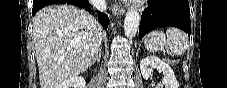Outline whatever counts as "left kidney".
I'll return each instance as SVG.
<instances>
[{
	"label": "left kidney",
	"instance_id": "obj_1",
	"mask_svg": "<svg viewBox=\"0 0 227 88\" xmlns=\"http://www.w3.org/2000/svg\"><path fill=\"white\" fill-rule=\"evenodd\" d=\"M142 76L148 80L153 75V69L161 71L164 75L162 82L158 83L156 88H179L175 74L168 63L160 60L156 56H147L140 62Z\"/></svg>",
	"mask_w": 227,
	"mask_h": 88
}]
</instances>
